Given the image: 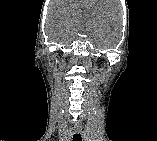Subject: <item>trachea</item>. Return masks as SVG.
Here are the masks:
<instances>
[{
  "instance_id": "3493384b",
  "label": "trachea",
  "mask_w": 157,
  "mask_h": 141,
  "mask_svg": "<svg viewBox=\"0 0 157 141\" xmlns=\"http://www.w3.org/2000/svg\"><path fill=\"white\" fill-rule=\"evenodd\" d=\"M73 141H82L81 134L80 133L74 134Z\"/></svg>"
}]
</instances>
